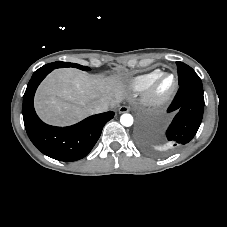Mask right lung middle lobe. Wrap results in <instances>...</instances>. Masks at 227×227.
Wrapping results in <instances>:
<instances>
[{"instance_id": "obj_1", "label": "right lung middle lobe", "mask_w": 227, "mask_h": 227, "mask_svg": "<svg viewBox=\"0 0 227 227\" xmlns=\"http://www.w3.org/2000/svg\"><path fill=\"white\" fill-rule=\"evenodd\" d=\"M62 67H75L84 71H89L90 68L86 67V66H82L79 64H75V63H69V62H62V61H57V62H53V63H49L44 65L43 67H41L40 69H56V68H62Z\"/></svg>"}]
</instances>
